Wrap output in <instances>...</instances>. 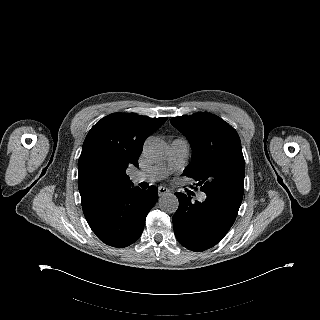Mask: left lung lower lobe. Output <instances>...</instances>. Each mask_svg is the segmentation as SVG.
I'll list each match as a JSON object with an SVG mask.
<instances>
[{"mask_svg": "<svg viewBox=\"0 0 320 320\" xmlns=\"http://www.w3.org/2000/svg\"><path fill=\"white\" fill-rule=\"evenodd\" d=\"M179 207L173 216L174 233L179 243L192 251L215 246L233 225L239 203L227 196L210 195L203 202L176 192Z\"/></svg>", "mask_w": 320, "mask_h": 320, "instance_id": "1", "label": "left lung lower lobe"}]
</instances>
